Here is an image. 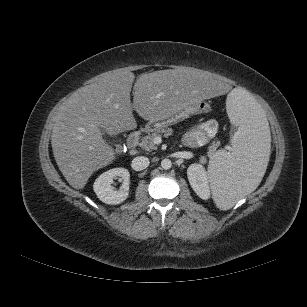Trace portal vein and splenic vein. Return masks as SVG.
Listing matches in <instances>:
<instances>
[{"label":"portal vein and splenic vein","instance_id":"18ae733b","mask_svg":"<svg viewBox=\"0 0 307 307\" xmlns=\"http://www.w3.org/2000/svg\"><path fill=\"white\" fill-rule=\"evenodd\" d=\"M155 141H156L157 143H160L162 140H161L160 137H156V138H155Z\"/></svg>","mask_w":307,"mask_h":307}]
</instances>
